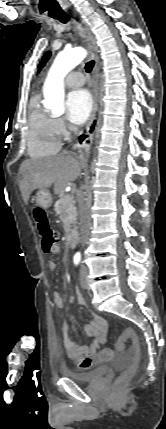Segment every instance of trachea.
Segmentation results:
<instances>
[{"label":"trachea","mask_w":166,"mask_h":429,"mask_svg":"<svg viewBox=\"0 0 166 429\" xmlns=\"http://www.w3.org/2000/svg\"><path fill=\"white\" fill-rule=\"evenodd\" d=\"M49 15L52 18L57 19L62 23H67L70 20V17L65 12L50 13ZM93 67H94V61L91 60L85 66L86 72L90 73Z\"/></svg>","instance_id":"trachea-1"}]
</instances>
